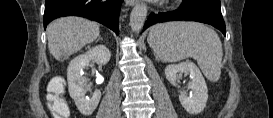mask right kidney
<instances>
[{
	"label": "right kidney",
	"instance_id": "right-kidney-1",
	"mask_svg": "<svg viewBox=\"0 0 273 118\" xmlns=\"http://www.w3.org/2000/svg\"><path fill=\"white\" fill-rule=\"evenodd\" d=\"M111 53L104 45H98L86 53L71 60L67 69V80L70 96L74 99L79 111L85 115H91L99 104L100 90H95L92 96L86 97L87 78L83 76V69L94 60L99 64H107Z\"/></svg>",
	"mask_w": 273,
	"mask_h": 118
}]
</instances>
